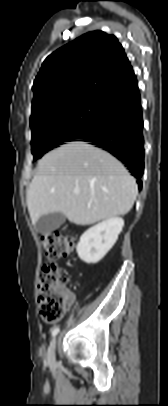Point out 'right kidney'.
I'll return each mask as SVG.
<instances>
[{
  "label": "right kidney",
  "mask_w": 168,
  "mask_h": 406,
  "mask_svg": "<svg viewBox=\"0 0 168 406\" xmlns=\"http://www.w3.org/2000/svg\"><path fill=\"white\" fill-rule=\"evenodd\" d=\"M123 226L122 218L112 217L85 231L77 245L80 259L88 264L99 262L116 243Z\"/></svg>",
  "instance_id": "right-kidney-1"
}]
</instances>
